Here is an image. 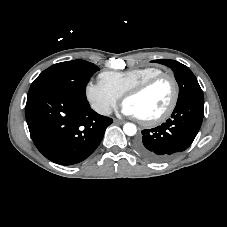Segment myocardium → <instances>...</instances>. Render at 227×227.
<instances>
[{
    "instance_id": "myocardium-1",
    "label": "myocardium",
    "mask_w": 227,
    "mask_h": 227,
    "mask_svg": "<svg viewBox=\"0 0 227 227\" xmlns=\"http://www.w3.org/2000/svg\"><path fill=\"white\" fill-rule=\"evenodd\" d=\"M163 79H168L172 84L173 93H172L171 101L167 106V108L159 115L149 119L139 118L140 122L144 125L154 126V125L160 124L165 120H167L174 112L179 100V93H180L179 84L175 76L169 73H161V74L155 75L139 83L138 85L132 87L131 89H129L123 94V102H125V100L130 97L137 96L144 93L154 84H156L157 82Z\"/></svg>"
}]
</instances>
